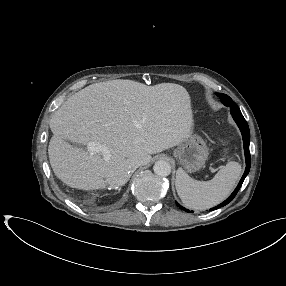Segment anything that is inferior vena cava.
I'll return each mask as SVG.
<instances>
[{"label": "inferior vena cava", "mask_w": 286, "mask_h": 286, "mask_svg": "<svg viewBox=\"0 0 286 286\" xmlns=\"http://www.w3.org/2000/svg\"><path fill=\"white\" fill-rule=\"evenodd\" d=\"M142 163L138 160L134 161L132 164V171H134L136 168H138L139 166H141Z\"/></svg>", "instance_id": "obj_1"}]
</instances>
